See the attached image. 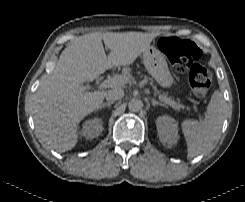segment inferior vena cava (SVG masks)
Instances as JSON below:
<instances>
[{
    "instance_id": "obj_1",
    "label": "inferior vena cava",
    "mask_w": 245,
    "mask_h": 202,
    "mask_svg": "<svg viewBox=\"0 0 245 202\" xmlns=\"http://www.w3.org/2000/svg\"><path fill=\"white\" fill-rule=\"evenodd\" d=\"M123 96H124V91L121 88H114L112 90H108L105 95L106 100L111 102L119 100Z\"/></svg>"
}]
</instances>
